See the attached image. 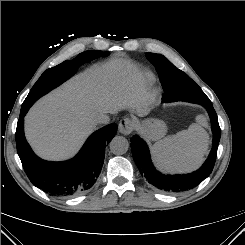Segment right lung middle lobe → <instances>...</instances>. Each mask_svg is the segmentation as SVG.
Wrapping results in <instances>:
<instances>
[{"label": "right lung middle lobe", "instance_id": "dd1d6c3e", "mask_svg": "<svg viewBox=\"0 0 245 245\" xmlns=\"http://www.w3.org/2000/svg\"><path fill=\"white\" fill-rule=\"evenodd\" d=\"M108 52L103 53L98 50H90L80 53L76 58L70 61H64L61 64L47 69L38 81L34 84L27 98L22 104V107L31 106L37 99L56 88L64 81L75 74L77 68L82 65L88 57L97 58L108 55Z\"/></svg>", "mask_w": 245, "mask_h": 245}]
</instances>
